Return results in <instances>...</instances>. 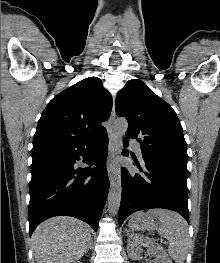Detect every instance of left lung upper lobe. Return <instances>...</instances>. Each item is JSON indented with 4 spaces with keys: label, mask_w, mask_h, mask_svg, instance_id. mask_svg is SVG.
Here are the masks:
<instances>
[{
    "label": "left lung upper lobe",
    "mask_w": 220,
    "mask_h": 263,
    "mask_svg": "<svg viewBox=\"0 0 220 263\" xmlns=\"http://www.w3.org/2000/svg\"><path fill=\"white\" fill-rule=\"evenodd\" d=\"M116 114L128 121L126 139H137L142 153L187 171V149L181 123L172 107L143 81L133 79L117 94Z\"/></svg>",
    "instance_id": "1"
}]
</instances>
